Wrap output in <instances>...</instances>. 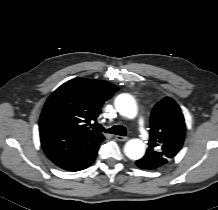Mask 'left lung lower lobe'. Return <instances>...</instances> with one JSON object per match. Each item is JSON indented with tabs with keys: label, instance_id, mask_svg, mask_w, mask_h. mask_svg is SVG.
Returning <instances> with one entry per match:
<instances>
[{
	"label": "left lung lower lobe",
	"instance_id": "1",
	"mask_svg": "<svg viewBox=\"0 0 218 210\" xmlns=\"http://www.w3.org/2000/svg\"><path fill=\"white\" fill-rule=\"evenodd\" d=\"M136 164L142 169H155V168L160 167L155 162L149 160V158L146 156L136 161Z\"/></svg>",
	"mask_w": 218,
	"mask_h": 210
}]
</instances>
